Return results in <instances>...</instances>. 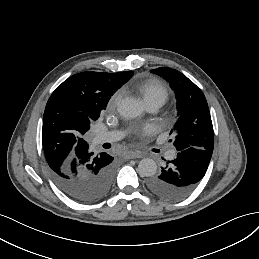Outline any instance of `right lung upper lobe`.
<instances>
[{
    "instance_id": "right-lung-upper-lobe-1",
    "label": "right lung upper lobe",
    "mask_w": 259,
    "mask_h": 259,
    "mask_svg": "<svg viewBox=\"0 0 259 259\" xmlns=\"http://www.w3.org/2000/svg\"><path fill=\"white\" fill-rule=\"evenodd\" d=\"M133 75L82 72L60 84L50 96L43 116L42 142L46 161L59 171L89 148L85 133L106 108L111 96Z\"/></svg>"
}]
</instances>
